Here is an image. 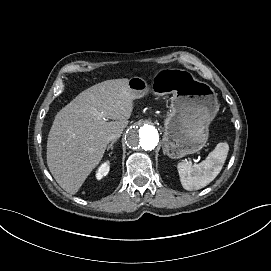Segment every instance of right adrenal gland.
Returning <instances> with one entry per match:
<instances>
[{
	"instance_id": "2a0ac1e0",
	"label": "right adrenal gland",
	"mask_w": 271,
	"mask_h": 271,
	"mask_svg": "<svg viewBox=\"0 0 271 271\" xmlns=\"http://www.w3.org/2000/svg\"><path fill=\"white\" fill-rule=\"evenodd\" d=\"M115 142H116V140L112 141V142L108 145L107 151H108L109 149L113 150V144H114Z\"/></svg>"
}]
</instances>
